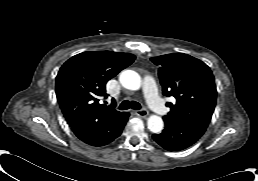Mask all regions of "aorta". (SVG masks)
I'll return each instance as SVG.
<instances>
[{
    "instance_id": "762f6f07",
    "label": "aorta",
    "mask_w": 258,
    "mask_h": 181,
    "mask_svg": "<svg viewBox=\"0 0 258 181\" xmlns=\"http://www.w3.org/2000/svg\"><path fill=\"white\" fill-rule=\"evenodd\" d=\"M119 81L121 85L129 90H139L141 87V77L133 70H124L120 73ZM148 129L153 133H160L163 129V120L160 116L151 115L147 120Z\"/></svg>"
}]
</instances>
